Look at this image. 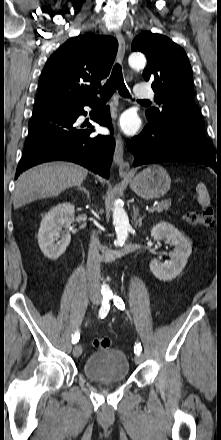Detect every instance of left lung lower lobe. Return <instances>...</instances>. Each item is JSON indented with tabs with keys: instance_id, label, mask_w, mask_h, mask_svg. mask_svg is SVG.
<instances>
[{
	"instance_id": "0a47b994",
	"label": "left lung lower lobe",
	"mask_w": 221,
	"mask_h": 440,
	"mask_svg": "<svg viewBox=\"0 0 221 440\" xmlns=\"http://www.w3.org/2000/svg\"><path fill=\"white\" fill-rule=\"evenodd\" d=\"M204 125L184 118H169L162 123L149 121L140 135L129 142L134 166L149 163L186 161L210 166L221 175V155L205 135Z\"/></svg>"
}]
</instances>
